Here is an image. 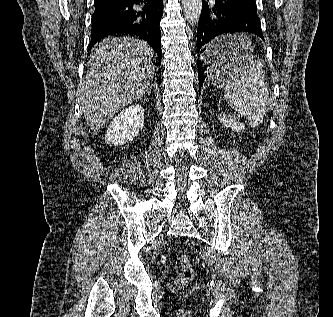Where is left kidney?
<instances>
[{
    "instance_id": "5707ae66",
    "label": "left kidney",
    "mask_w": 333,
    "mask_h": 317,
    "mask_svg": "<svg viewBox=\"0 0 333 317\" xmlns=\"http://www.w3.org/2000/svg\"><path fill=\"white\" fill-rule=\"evenodd\" d=\"M219 118H220V123L224 127L230 128L233 131L239 132L245 128L242 123H240L237 119L233 117L221 114Z\"/></svg>"
}]
</instances>
